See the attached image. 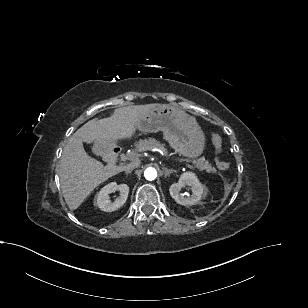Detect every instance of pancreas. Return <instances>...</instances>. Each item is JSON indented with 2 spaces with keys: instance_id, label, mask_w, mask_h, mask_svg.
I'll list each match as a JSON object with an SVG mask.
<instances>
[{
  "instance_id": "1",
  "label": "pancreas",
  "mask_w": 308,
  "mask_h": 308,
  "mask_svg": "<svg viewBox=\"0 0 308 308\" xmlns=\"http://www.w3.org/2000/svg\"><path fill=\"white\" fill-rule=\"evenodd\" d=\"M136 149L132 152H130L126 158L134 161L137 158V152H141V151H146V150H151V149H160L161 151L164 152V154L167 153L166 148L164 147V144H160L158 141H156L153 138H149V139H145V140H139L136 144ZM194 163L197 164V166L201 169V170H207V171H211L213 170L211 164H209L208 161H205L204 159H199V160H194Z\"/></svg>"
}]
</instances>
